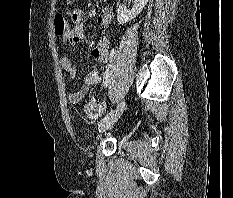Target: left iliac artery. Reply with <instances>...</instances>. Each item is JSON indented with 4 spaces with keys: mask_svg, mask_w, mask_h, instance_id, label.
Here are the masks:
<instances>
[{
    "mask_svg": "<svg viewBox=\"0 0 233 198\" xmlns=\"http://www.w3.org/2000/svg\"><path fill=\"white\" fill-rule=\"evenodd\" d=\"M107 77H106V79H107ZM106 84H107V81L104 82V85H106ZM112 113H113V110H111L108 114H106L105 117L102 120H106Z\"/></svg>",
    "mask_w": 233,
    "mask_h": 198,
    "instance_id": "1",
    "label": "left iliac artery"
}]
</instances>
